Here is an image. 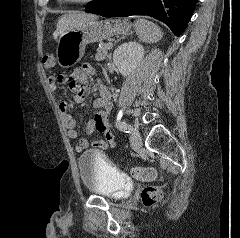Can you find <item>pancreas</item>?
<instances>
[{"mask_svg":"<svg viewBox=\"0 0 240 238\" xmlns=\"http://www.w3.org/2000/svg\"><path fill=\"white\" fill-rule=\"evenodd\" d=\"M107 55H108V49H107V43H105L102 45V47L97 49V52L95 54V60L103 61L106 59Z\"/></svg>","mask_w":240,"mask_h":238,"instance_id":"cf45deb5","label":"pancreas"}]
</instances>
